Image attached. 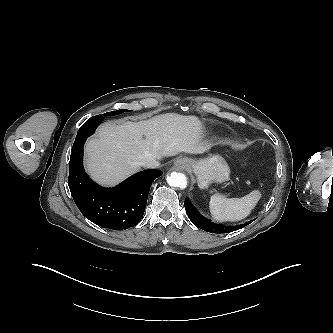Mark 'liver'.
<instances>
[{"instance_id": "liver-1", "label": "liver", "mask_w": 333, "mask_h": 333, "mask_svg": "<svg viewBox=\"0 0 333 333\" xmlns=\"http://www.w3.org/2000/svg\"><path fill=\"white\" fill-rule=\"evenodd\" d=\"M202 124L195 116L166 113L149 120L105 123L85 146V165L103 186H113L137 172L147 158L161 160L185 152L204 153Z\"/></svg>"}]
</instances>
